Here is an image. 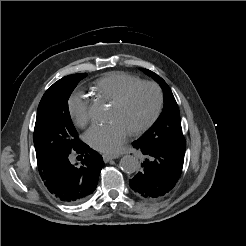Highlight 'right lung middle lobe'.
<instances>
[{
  "instance_id": "dd1d6c3e",
  "label": "right lung middle lobe",
  "mask_w": 246,
  "mask_h": 246,
  "mask_svg": "<svg viewBox=\"0 0 246 246\" xmlns=\"http://www.w3.org/2000/svg\"><path fill=\"white\" fill-rule=\"evenodd\" d=\"M86 76V73H80L63 77L43 95L33 134L37 163L71 153L80 144L70 117L68 99Z\"/></svg>"
}]
</instances>
